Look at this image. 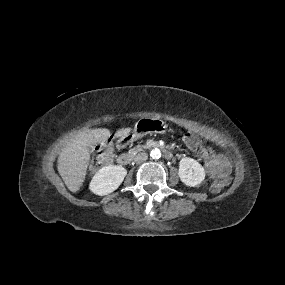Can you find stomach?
I'll use <instances>...</instances> for the list:
<instances>
[{"instance_id":"1","label":"stomach","mask_w":285,"mask_h":285,"mask_svg":"<svg viewBox=\"0 0 285 285\" xmlns=\"http://www.w3.org/2000/svg\"><path fill=\"white\" fill-rule=\"evenodd\" d=\"M156 123L157 122L154 119H141L135 126L133 138H138L152 132H157L151 128ZM160 126H162V124H160Z\"/></svg>"}]
</instances>
